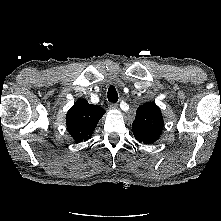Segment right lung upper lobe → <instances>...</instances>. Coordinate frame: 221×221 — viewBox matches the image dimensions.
I'll list each match as a JSON object with an SVG mask.
<instances>
[{"label":"right lung upper lobe","instance_id":"1","mask_svg":"<svg viewBox=\"0 0 221 221\" xmlns=\"http://www.w3.org/2000/svg\"><path fill=\"white\" fill-rule=\"evenodd\" d=\"M104 113L102 107L89 104L85 99H78L67 112L66 125L69 134L76 142L87 141L92 137Z\"/></svg>","mask_w":221,"mask_h":221}]
</instances>
